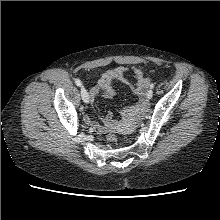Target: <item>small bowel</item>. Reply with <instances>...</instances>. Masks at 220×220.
<instances>
[{"mask_svg":"<svg viewBox=\"0 0 220 220\" xmlns=\"http://www.w3.org/2000/svg\"><path fill=\"white\" fill-rule=\"evenodd\" d=\"M129 74L135 79V84L134 86H131V90L140 98V102L136 110H144L147 102L146 92L151 83V80L146 77L143 69L140 67H116L104 71L98 79L96 86L90 90V98L94 99L96 96L101 95L106 99H112L115 96L113 81L117 79L123 82H127ZM84 119L87 124L93 126L98 131H103L106 127L109 126L111 116L108 117L105 124H99L88 114L85 115Z\"/></svg>","mask_w":220,"mask_h":220,"instance_id":"c3829d8e","label":"small bowel"}]
</instances>
